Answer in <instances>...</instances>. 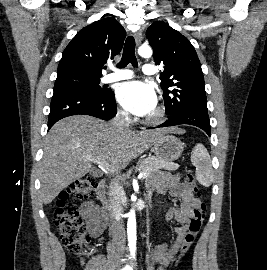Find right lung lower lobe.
Wrapping results in <instances>:
<instances>
[{
    "label": "right lung lower lobe",
    "mask_w": 267,
    "mask_h": 270,
    "mask_svg": "<svg viewBox=\"0 0 267 270\" xmlns=\"http://www.w3.org/2000/svg\"><path fill=\"white\" fill-rule=\"evenodd\" d=\"M114 93L110 91L104 96L79 94L74 92L54 93L48 118V130L60 119L84 114L103 120H110L116 115Z\"/></svg>",
    "instance_id": "98d812e1"
}]
</instances>
